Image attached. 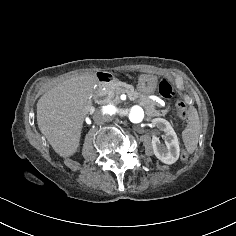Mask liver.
Returning <instances> with one entry per match:
<instances>
[{"label": "liver", "instance_id": "1", "mask_svg": "<svg viewBox=\"0 0 236 236\" xmlns=\"http://www.w3.org/2000/svg\"><path fill=\"white\" fill-rule=\"evenodd\" d=\"M96 74L63 81L37 102V123L54 151L61 157L77 152L83 121L92 110L91 96L98 83Z\"/></svg>", "mask_w": 236, "mask_h": 236}]
</instances>
